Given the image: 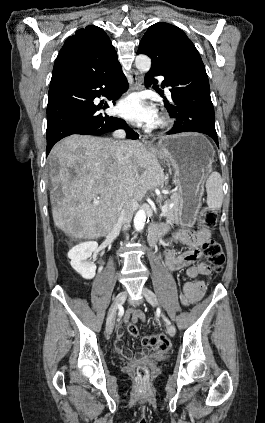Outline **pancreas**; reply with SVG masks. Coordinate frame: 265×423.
<instances>
[{
	"mask_svg": "<svg viewBox=\"0 0 265 423\" xmlns=\"http://www.w3.org/2000/svg\"><path fill=\"white\" fill-rule=\"evenodd\" d=\"M161 201H164V205L168 207V210L165 213V216L172 222H178V209H179V196L177 193H173L170 198L162 196ZM171 204L173 206H171Z\"/></svg>",
	"mask_w": 265,
	"mask_h": 423,
	"instance_id": "cf45deb5",
	"label": "pancreas"
}]
</instances>
